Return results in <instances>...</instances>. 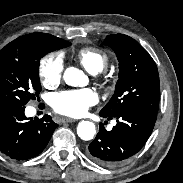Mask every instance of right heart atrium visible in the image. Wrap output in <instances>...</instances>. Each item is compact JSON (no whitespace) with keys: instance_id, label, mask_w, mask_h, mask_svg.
I'll use <instances>...</instances> for the list:
<instances>
[{"instance_id":"1","label":"right heart atrium","mask_w":183,"mask_h":183,"mask_svg":"<svg viewBox=\"0 0 183 183\" xmlns=\"http://www.w3.org/2000/svg\"><path fill=\"white\" fill-rule=\"evenodd\" d=\"M63 59L57 53H51L42 58L39 64V77L45 87H56L63 75Z\"/></svg>"}]
</instances>
